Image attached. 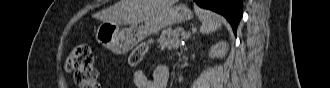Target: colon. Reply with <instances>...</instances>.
Masks as SVG:
<instances>
[{
    "label": "colon",
    "instance_id": "colon-1",
    "mask_svg": "<svg viewBox=\"0 0 330 88\" xmlns=\"http://www.w3.org/2000/svg\"><path fill=\"white\" fill-rule=\"evenodd\" d=\"M148 49L149 42H144L135 48L130 55V65H139ZM65 68L68 72L74 73L75 82L81 88H100L99 72L90 46L74 47L65 60Z\"/></svg>",
    "mask_w": 330,
    "mask_h": 88
}]
</instances>
